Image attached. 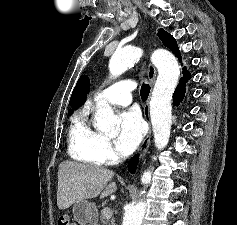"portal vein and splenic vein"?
Here are the masks:
<instances>
[{
  "label": "portal vein and splenic vein",
  "mask_w": 237,
  "mask_h": 225,
  "mask_svg": "<svg viewBox=\"0 0 237 225\" xmlns=\"http://www.w3.org/2000/svg\"><path fill=\"white\" fill-rule=\"evenodd\" d=\"M102 212H103L104 217L106 218L112 217L113 211L110 208H104Z\"/></svg>",
  "instance_id": "portal-vein-and-splenic-vein-1"
}]
</instances>
